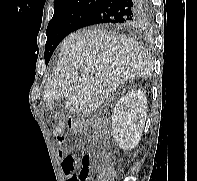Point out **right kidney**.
<instances>
[{"mask_svg":"<svg viewBox=\"0 0 197 181\" xmlns=\"http://www.w3.org/2000/svg\"><path fill=\"white\" fill-rule=\"evenodd\" d=\"M145 93L138 90L128 91L116 103L112 116L114 138L123 150L134 148L142 136L147 117Z\"/></svg>","mask_w":197,"mask_h":181,"instance_id":"obj_1","label":"right kidney"}]
</instances>
